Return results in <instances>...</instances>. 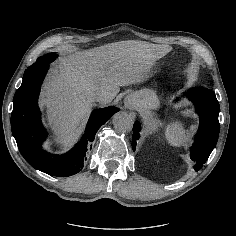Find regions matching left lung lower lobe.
<instances>
[{"label": "left lung lower lobe", "mask_w": 236, "mask_h": 236, "mask_svg": "<svg viewBox=\"0 0 236 236\" xmlns=\"http://www.w3.org/2000/svg\"><path fill=\"white\" fill-rule=\"evenodd\" d=\"M187 97L195 104L196 112L200 116V125L191 148V159L196 162L194 169L200 170L215 148L220 125L218 121L219 102L215 93L207 88L197 87L187 91ZM140 123L135 122L133 127L132 147L135 150L139 139Z\"/></svg>", "instance_id": "0a47b994"}]
</instances>
